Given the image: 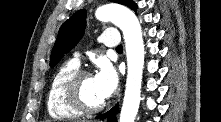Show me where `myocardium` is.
Wrapping results in <instances>:
<instances>
[{"label":"myocardium","instance_id":"1","mask_svg":"<svg viewBox=\"0 0 221 122\" xmlns=\"http://www.w3.org/2000/svg\"><path fill=\"white\" fill-rule=\"evenodd\" d=\"M92 74L86 70H78L72 74L65 82L63 95L66 102L82 114H95L106 107V102L99 105H89L85 102L81 94V84L85 78L91 77Z\"/></svg>","mask_w":221,"mask_h":122}]
</instances>
